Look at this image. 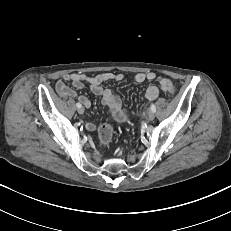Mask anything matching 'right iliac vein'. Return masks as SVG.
<instances>
[{"label":"right iliac vein","mask_w":231,"mask_h":231,"mask_svg":"<svg viewBox=\"0 0 231 231\" xmlns=\"http://www.w3.org/2000/svg\"><path fill=\"white\" fill-rule=\"evenodd\" d=\"M77 111H78L79 114H83L84 113V108L83 107H79L77 109Z\"/></svg>","instance_id":"1"}]
</instances>
